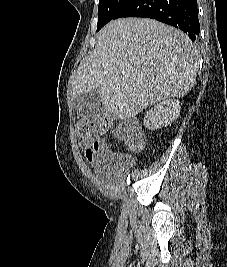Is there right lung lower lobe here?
I'll return each mask as SVG.
<instances>
[{
    "instance_id": "right-lung-lower-lobe-1",
    "label": "right lung lower lobe",
    "mask_w": 227,
    "mask_h": 267,
    "mask_svg": "<svg viewBox=\"0 0 227 267\" xmlns=\"http://www.w3.org/2000/svg\"><path fill=\"white\" fill-rule=\"evenodd\" d=\"M121 17L156 19L180 28L192 41L200 32L197 0H128L112 20Z\"/></svg>"
}]
</instances>
